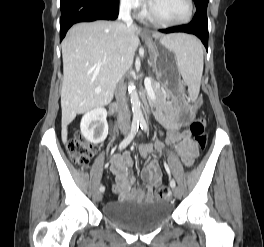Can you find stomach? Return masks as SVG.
<instances>
[{"label": "stomach", "mask_w": 264, "mask_h": 247, "mask_svg": "<svg viewBox=\"0 0 264 247\" xmlns=\"http://www.w3.org/2000/svg\"><path fill=\"white\" fill-rule=\"evenodd\" d=\"M146 41L149 45V50L151 54V59L156 71V74L160 80L163 82L169 81L173 87V91L176 90L177 83L180 82L179 78H176L175 75L179 74L177 70V63L175 53H170L169 40L166 38H161V44H155L149 37H146ZM179 113H195V108H179ZM186 123H192V118H186Z\"/></svg>", "instance_id": "stomach-1"}]
</instances>
